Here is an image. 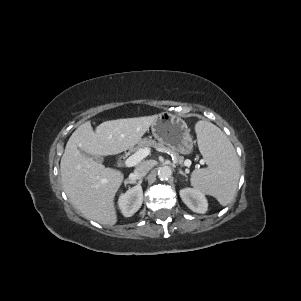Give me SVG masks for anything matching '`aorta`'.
Returning a JSON list of instances; mask_svg holds the SVG:
<instances>
[{
    "mask_svg": "<svg viewBox=\"0 0 301 301\" xmlns=\"http://www.w3.org/2000/svg\"><path fill=\"white\" fill-rule=\"evenodd\" d=\"M172 175V170L169 166H161L158 170V177L161 180H168Z\"/></svg>",
    "mask_w": 301,
    "mask_h": 301,
    "instance_id": "obj_1",
    "label": "aorta"
}]
</instances>
